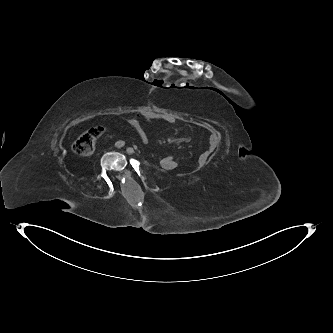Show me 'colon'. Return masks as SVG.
I'll return each mask as SVG.
<instances>
[{
  "label": "colon",
  "instance_id": "colon-1",
  "mask_svg": "<svg viewBox=\"0 0 333 333\" xmlns=\"http://www.w3.org/2000/svg\"><path fill=\"white\" fill-rule=\"evenodd\" d=\"M103 128L93 127L80 135L72 145V150L74 154L80 157L90 156L95 148L96 141L102 135ZM173 161V158L170 155H167L165 158H162L159 161V164L162 167H165L167 164H170Z\"/></svg>",
  "mask_w": 333,
  "mask_h": 333
}]
</instances>
